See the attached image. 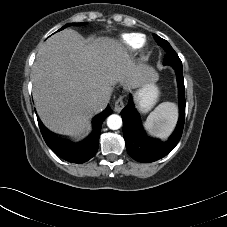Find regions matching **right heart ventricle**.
<instances>
[{"label": "right heart ventricle", "instance_id": "1", "mask_svg": "<svg viewBox=\"0 0 227 227\" xmlns=\"http://www.w3.org/2000/svg\"><path fill=\"white\" fill-rule=\"evenodd\" d=\"M122 42L128 49L137 50L143 45L144 37L139 33H128L122 36Z\"/></svg>", "mask_w": 227, "mask_h": 227}]
</instances>
